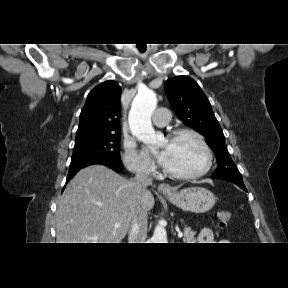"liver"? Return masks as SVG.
<instances>
[{
    "label": "liver",
    "mask_w": 288,
    "mask_h": 288,
    "mask_svg": "<svg viewBox=\"0 0 288 288\" xmlns=\"http://www.w3.org/2000/svg\"><path fill=\"white\" fill-rule=\"evenodd\" d=\"M154 203L152 193L136 181L103 165L85 167L68 183L58 202L57 243H120L133 219L149 212Z\"/></svg>",
    "instance_id": "6515ba94"
}]
</instances>
